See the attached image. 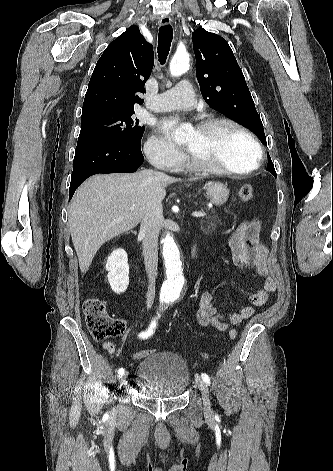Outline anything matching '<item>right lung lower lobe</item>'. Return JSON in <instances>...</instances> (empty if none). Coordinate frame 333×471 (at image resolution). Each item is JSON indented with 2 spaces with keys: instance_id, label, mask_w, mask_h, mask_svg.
Listing matches in <instances>:
<instances>
[{
  "instance_id": "right-lung-lower-lobe-1",
  "label": "right lung lower lobe",
  "mask_w": 333,
  "mask_h": 471,
  "mask_svg": "<svg viewBox=\"0 0 333 471\" xmlns=\"http://www.w3.org/2000/svg\"><path fill=\"white\" fill-rule=\"evenodd\" d=\"M140 148L106 138L79 140L69 188V200L77 187L98 173H131L143 163Z\"/></svg>"
}]
</instances>
